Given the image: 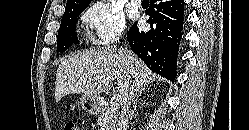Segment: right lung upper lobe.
Returning a JSON list of instances; mask_svg holds the SVG:
<instances>
[{
  "mask_svg": "<svg viewBox=\"0 0 249 130\" xmlns=\"http://www.w3.org/2000/svg\"><path fill=\"white\" fill-rule=\"evenodd\" d=\"M91 0H68L66 6L71 7H87Z\"/></svg>",
  "mask_w": 249,
  "mask_h": 130,
  "instance_id": "1",
  "label": "right lung upper lobe"
}]
</instances>
